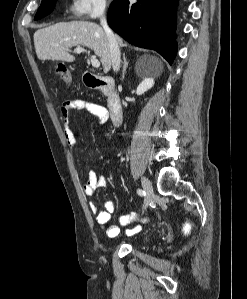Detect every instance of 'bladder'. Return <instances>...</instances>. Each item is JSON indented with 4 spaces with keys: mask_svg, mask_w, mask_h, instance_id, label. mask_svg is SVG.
I'll return each instance as SVG.
<instances>
[{
    "mask_svg": "<svg viewBox=\"0 0 247 299\" xmlns=\"http://www.w3.org/2000/svg\"><path fill=\"white\" fill-rule=\"evenodd\" d=\"M150 239H151V235H145V236L142 238V242L146 243V242H148Z\"/></svg>",
    "mask_w": 247,
    "mask_h": 299,
    "instance_id": "1",
    "label": "bladder"
}]
</instances>
